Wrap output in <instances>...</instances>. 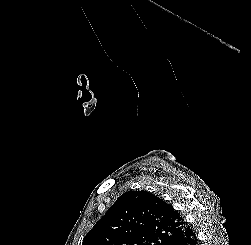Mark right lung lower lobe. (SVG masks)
<instances>
[{
	"instance_id": "right-lung-lower-lobe-1",
	"label": "right lung lower lobe",
	"mask_w": 251,
	"mask_h": 245,
	"mask_svg": "<svg viewBox=\"0 0 251 245\" xmlns=\"http://www.w3.org/2000/svg\"><path fill=\"white\" fill-rule=\"evenodd\" d=\"M197 238L190 227L180 237L170 241L167 245H197Z\"/></svg>"
}]
</instances>
